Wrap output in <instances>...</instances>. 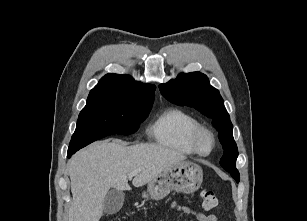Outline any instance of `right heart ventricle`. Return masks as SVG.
<instances>
[{
    "instance_id": "e07e8e85",
    "label": "right heart ventricle",
    "mask_w": 307,
    "mask_h": 221,
    "mask_svg": "<svg viewBox=\"0 0 307 221\" xmlns=\"http://www.w3.org/2000/svg\"><path fill=\"white\" fill-rule=\"evenodd\" d=\"M200 122L190 113L171 108L163 112L149 127V135L161 146L172 151L193 155L196 152L190 143L193 131Z\"/></svg>"
}]
</instances>
